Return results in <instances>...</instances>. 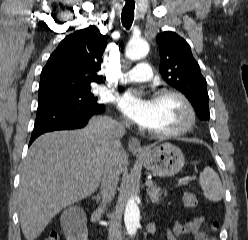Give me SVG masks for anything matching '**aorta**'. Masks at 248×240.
Instances as JSON below:
<instances>
[{
  "label": "aorta",
  "instance_id": "762f6f07",
  "mask_svg": "<svg viewBox=\"0 0 248 240\" xmlns=\"http://www.w3.org/2000/svg\"><path fill=\"white\" fill-rule=\"evenodd\" d=\"M149 52V45L144 40H131L126 46L125 55L135 61L142 59ZM137 197H131L125 207L124 222L128 234L135 235L140 224V210L136 203Z\"/></svg>",
  "mask_w": 248,
  "mask_h": 240
}]
</instances>
